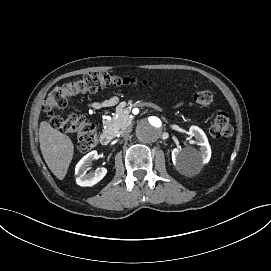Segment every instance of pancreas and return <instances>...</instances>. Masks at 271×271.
<instances>
[{"instance_id":"1","label":"pancreas","mask_w":271,"mask_h":271,"mask_svg":"<svg viewBox=\"0 0 271 271\" xmlns=\"http://www.w3.org/2000/svg\"><path fill=\"white\" fill-rule=\"evenodd\" d=\"M120 106L116 109V116L112 120H106L105 125L107 128H111L117 133L120 129L126 128L131 123L130 110L128 108H122Z\"/></svg>"}]
</instances>
